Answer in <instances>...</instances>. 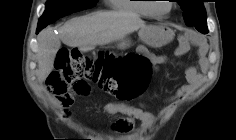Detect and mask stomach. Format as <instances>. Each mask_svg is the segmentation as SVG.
Returning <instances> with one entry per match:
<instances>
[{
    "mask_svg": "<svg viewBox=\"0 0 236 140\" xmlns=\"http://www.w3.org/2000/svg\"><path fill=\"white\" fill-rule=\"evenodd\" d=\"M142 39L150 46L161 47L172 41L174 31L166 25L159 24L148 26L140 31ZM122 46L128 45L127 41L121 43Z\"/></svg>",
    "mask_w": 236,
    "mask_h": 140,
    "instance_id": "stomach-1",
    "label": "stomach"
}]
</instances>
